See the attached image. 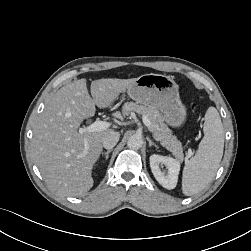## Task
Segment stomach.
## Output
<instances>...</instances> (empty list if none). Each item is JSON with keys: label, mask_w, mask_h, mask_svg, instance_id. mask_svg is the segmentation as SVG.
Segmentation results:
<instances>
[{"label": "stomach", "mask_w": 251, "mask_h": 251, "mask_svg": "<svg viewBox=\"0 0 251 251\" xmlns=\"http://www.w3.org/2000/svg\"><path fill=\"white\" fill-rule=\"evenodd\" d=\"M178 89V85L170 76L151 73L136 78L127 93L136 103L160 110L164 121L177 128L182 126L187 118V109L180 100Z\"/></svg>", "instance_id": "obj_1"}]
</instances>
